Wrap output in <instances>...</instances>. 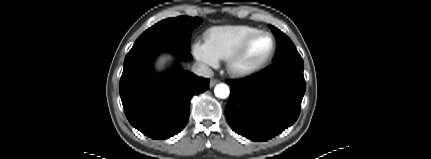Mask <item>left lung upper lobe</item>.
<instances>
[{"label":"left lung upper lobe","instance_id":"obj_1","mask_svg":"<svg viewBox=\"0 0 431 159\" xmlns=\"http://www.w3.org/2000/svg\"><path fill=\"white\" fill-rule=\"evenodd\" d=\"M277 41V51L273 60V65L281 62L294 61L303 62L293 42L277 28L270 26Z\"/></svg>","mask_w":431,"mask_h":159}]
</instances>
